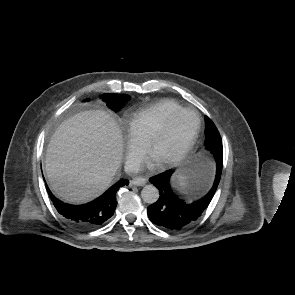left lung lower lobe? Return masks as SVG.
I'll list each match as a JSON object with an SVG mask.
<instances>
[{
  "label": "left lung lower lobe",
  "mask_w": 295,
  "mask_h": 295,
  "mask_svg": "<svg viewBox=\"0 0 295 295\" xmlns=\"http://www.w3.org/2000/svg\"><path fill=\"white\" fill-rule=\"evenodd\" d=\"M211 152L216 160V177L210 191L200 200L187 202L173 194L169 185L173 170L163 172L149 179L160 192L159 199L147 208L149 219L154 224L168 230H180L196 221L205 211L215 194L222 172L223 153L220 151Z\"/></svg>",
  "instance_id": "1"
}]
</instances>
